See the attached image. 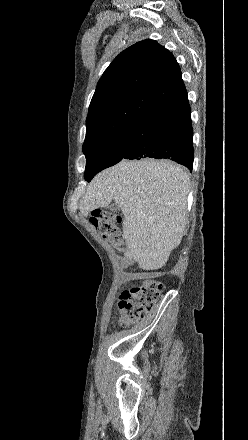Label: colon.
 Instances as JSON below:
<instances>
[{"instance_id":"1","label":"colon","mask_w":248,"mask_h":440,"mask_svg":"<svg viewBox=\"0 0 248 440\" xmlns=\"http://www.w3.org/2000/svg\"><path fill=\"white\" fill-rule=\"evenodd\" d=\"M90 222L116 249L126 248L119 216L105 210H96L92 213ZM163 288L160 281L146 279L140 285L123 291L118 302L120 323L123 326H131L145 317L154 308Z\"/></svg>"}]
</instances>
